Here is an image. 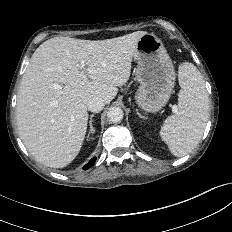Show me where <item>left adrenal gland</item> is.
Listing matches in <instances>:
<instances>
[{
	"label": "left adrenal gland",
	"mask_w": 232,
	"mask_h": 232,
	"mask_svg": "<svg viewBox=\"0 0 232 232\" xmlns=\"http://www.w3.org/2000/svg\"><path fill=\"white\" fill-rule=\"evenodd\" d=\"M137 114H138L141 118H144V117H142V116H141V114H140V113H138V110H137Z\"/></svg>",
	"instance_id": "1"
}]
</instances>
